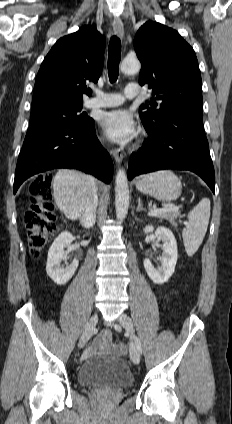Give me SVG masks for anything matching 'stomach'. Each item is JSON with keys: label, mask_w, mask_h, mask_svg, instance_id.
I'll use <instances>...</instances> for the list:
<instances>
[{"label": "stomach", "mask_w": 232, "mask_h": 424, "mask_svg": "<svg viewBox=\"0 0 232 424\" xmlns=\"http://www.w3.org/2000/svg\"><path fill=\"white\" fill-rule=\"evenodd\" d=\"M136 188L141 193L163 202L176 200L182 191L180 180L169 170H161L146 175L137 181Z\"/></svg>", "instance_id": "obj_1"}]
</instances>
